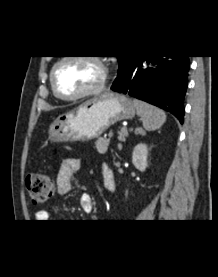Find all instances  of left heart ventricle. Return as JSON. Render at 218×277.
Wrapping results in <instances>:
<instances>
[{"label": "left heart ventricle", "mask_w": 218, "mask_h": 277, "mask_svg": "<svg viewBox=\"0 0 218 277\" xmlns=\"http://www.w3.org/2000/svg\"><path fill=\"white\" fill-rule=\"evenodd\" d=\"M98 80L97 67L83 60H69L59 66L55 73L56 87L64 96L77 95L95 85Z\"/></svg>", "instance_id": "b2bd125f"}]
</instances>
